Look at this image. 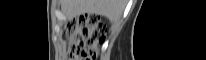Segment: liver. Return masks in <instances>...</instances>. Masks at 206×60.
Here are the masks:
<instances>
[{
  "label": "liver",
  "instance_id": "1",
  "mask_svg": "<svg viewBox=\"0 0 206 60\" xmlns=\"http://www.w3.org/2000/svg\"><path fill=\"white\" fill-rule=\"evenodd\" d=\"M61 3L70 18L89 13L104 16L111 22L119 19L125 7L124 0H62Z\"/></svg>",
  "mask_w": 206,
  "mask_h": 60
}]
</instances>
